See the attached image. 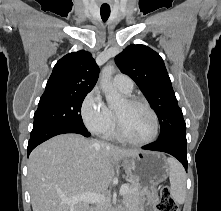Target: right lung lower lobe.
<instances>
[{
	"mask_svg": "<svg viewBox=\"0 0 221 211\" xmlns=\"http://www.w3.org/2000/svg\"><path fill=\"white\" fill-rule=\"evenodd\" d=\"M65 133H77L85 137L90 136V133L87 131L86 128L81 129V128L72 127V126H58V127L45 128L43 130H40L38 132L31 134L30 140L28 142V148H27L28 156L37 145L50 139L53 136H56L59 134H65Z\"/></svg>",
	"mask_w": 221,
	"mask_h": 211,
	"instance_id": "1",
	"label": "right lung lower lobe"
}]
</instances>
